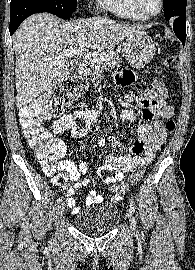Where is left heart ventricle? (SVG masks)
Returning <instances> with one entry per match:
<instances>
[{
  "label": "left heart ventricle",
  "instance_id": "left-heart-ventricle-1",
  "mask_svg": "<svg viewBox=\"0 0 195 270\" xmlns=\"http://www.w3.org/2000/svg\"><path fill=\"white\" fill-rule=\"evenodd\" d=\"M141 9L146 13H153L158 9V0H138Z\"/></svg>",
  "mask_w": 195,
  "mask_h": 270
}]
</instances>
